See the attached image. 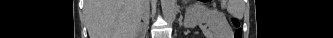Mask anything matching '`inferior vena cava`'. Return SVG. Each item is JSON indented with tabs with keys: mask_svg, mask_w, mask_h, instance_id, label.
Masks as SVG:
<instances>
[{
	"mask_svg": "<svg viewBox=\"0 0 333 38\" xmlns=\"http://www.w3.org/2000/svg\"><path fill=\"white\" fill-rule=\"evenodd\" d=\"M149 14H150L149 0H143L142 19L146 24H148L149 22Z\"/></svg>",
	"mask_w": 333,
	"mask_h": 38,
	"instance_id": "inferior-vena-cava-1",
	"label": "inferior vena cava"
}]
</instances>
